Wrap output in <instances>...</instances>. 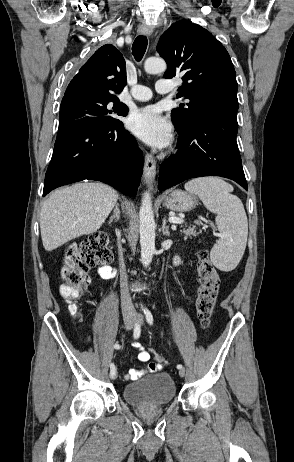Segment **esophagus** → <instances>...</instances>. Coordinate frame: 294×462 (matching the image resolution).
I'll return each mask as SVG.
<instances>
[{
  "instance_id": "34e87169",
  "label": "esophagus",
  "mask_w": 294,
  "mask_h": 462,
  "mask_svg": "<svg viewBox=\"0 0 294 462\" xmlns=\"http://www.w3.org/2000/svg\"><path fill=\"white\" fill-rule=\"evenodd\" d=\"M140 35L151 36L152 29L147 25H142L138 29ZM156 176V161L153 156L149 153L145 155L144 170H143V179L144 182L151 186L154 182Z\"/></svg>"
}]
</instances>
